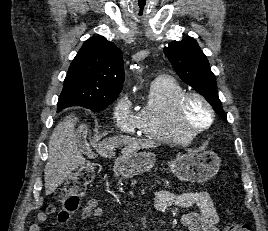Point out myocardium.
<instances>
[{
  "instance_id": "myocardium-1",
  "label": "myocardium",
  "mask_w": 268,
  "mask_h": 231,
  "mask_svg": "<svg viewBox=\"0 0 268 231\" xmlns=\"http://www.w3.org/2000/svg\"><path fill=\"white\" fill-rule=\"evenodd\" d=\"M195 99L201 102L209 111L210 114V120L207 124L199 126L195 129H188L184 123H183V113L186 107V104L188 101ZM215 113L214 109L211 105V103L200 93L194 92V91H189V92H183L180 94L174 104V121L177 130L185 137V139H190L193 138L200 133L204 132L207 130L214 121Z\"/></svg>"
}]
</instances>
